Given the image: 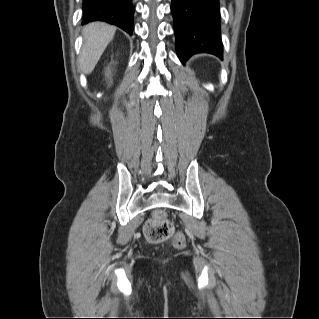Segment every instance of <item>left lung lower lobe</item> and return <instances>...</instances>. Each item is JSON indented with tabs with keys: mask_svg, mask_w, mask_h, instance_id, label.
I'll return each mask as SVG.
<instances>
[{
	"mask_svg": "<svg viewBox=\"0 0 319 319\" xmlns=\"http://www.w3.org/2000/svg\"><path fill=\"white\" fill-rule=\"evenodd\" d=\"M171 11L182 63L196 53L223 58L219 0H172Z\"/></svg>",
	"mask_w": 319,
	"mask_h": 319,
	"instance_id": "1",
	"label": "left lung lower lobe"
}]
</instances>
